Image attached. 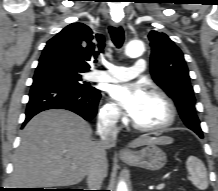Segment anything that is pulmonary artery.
I'll return each instance as SVG.
<instances>
[{"label": "pulmonary artery", "instance_id": "e3ab8cb5", "mask_svg": "<svg viewBox=\"0 0 218 191\" xmlns=\"http://www.w3.org/2000/svg\"><path fill=\"white\" fill-rule=\"evenodd\" d=\"M146 68V61L138 58L133 67L107 65L105 71H95L88 75V79L99 82H123L135 78Z\"/></svg>", "mask_w": 218, "mask_h": 191}]
</instances>
